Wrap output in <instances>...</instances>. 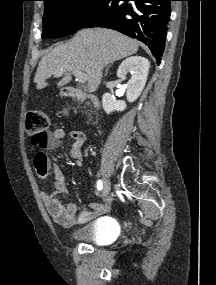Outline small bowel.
I'll use <instances>...</instances> for the list:
<instances>
[{"label": "small bowel", "instance_id": "1", "mask_svg": "<svg viewBox=\"0 0 216 285\" xmlns=\"http://www.w3.org/2000/svg\"><path fill=\"white\" fill-rule=\"evenodd\" d=\"M68 135L72 139L69 149L70 157L75 163L80 166L83 162L82 147L85 143V134L81 130H70L66 133L63 129H55L48 133V142L43 150L57 149L61 140ZM35 168L41 178L48 175L49 169L52 166L55 174V183L51 193L43 194V201L51 218L63 227H71L76 224H83L95 216L107 211V204H91L90 209L82 211L76 216V205L74 203H63L58 195L66 191V178L62 169L57 164H51L49 158L43 153L39 152L34 160Z\"/></svg>", "mask_w": 216, "mask_h": 285}]
</instances>
